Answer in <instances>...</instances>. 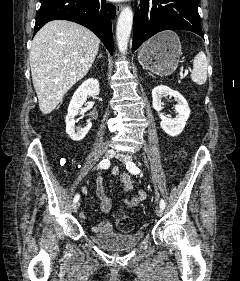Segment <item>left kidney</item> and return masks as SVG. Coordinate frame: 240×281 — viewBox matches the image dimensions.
<instances>
[{
	"label": "left kidney",
	"instance_id": "left-kidney-1",
	"mask_svg": "<svg viewBox=\"0 0 240 281\" xmlns=\"http://www.w3.org/2000/svg\"><path fill=\"white\" fill-rule=\"evenodd\" d=\"M174 97L177 101L175 105V110L178 113L175 118H167L160 113L163 108V102L161 101L162 97L166 96ZM152 105L153 108L159 113V117L161 119L160 126L164 132H166L170 136L179 135L185 125L186 121L190 116V109L186 99L177 91L170 89L165 85H160L155 87L152 90Z\"/></svg>",
	"mask_w": 240,
	"mask_h": 281
}]
</instances>
